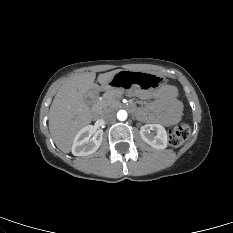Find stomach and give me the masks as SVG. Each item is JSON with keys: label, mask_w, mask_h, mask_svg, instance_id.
<instances>
[{"label": "stomach", "mask_w": 233, "mask_h": 233, "mask_svg": "<svg viewBox=\"0 0 233 233\" xmlns=\"http://www.w3.org/2000/svg\"><path fill=\"white\" fill-rule=\"evenodd\" d=\"M165 83L163 76L151 72L121 71L108 80V87L112 91L125 89L151 90Z\"/></svg>", "instance_id": "stomach-1"}]
</instances>
